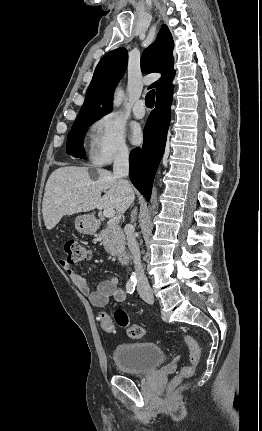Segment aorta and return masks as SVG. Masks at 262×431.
Wrapping results in <instances>:
<instances>
[{"label": "aorta", "instance_id": "1", "mask_svg": "<svg viewBox=\"0 0 262 431\" xmlns=\"http://www.w3.org/2000/svg\"><path fill=\"white\" fill-rule=\"evenodd\" d=\"M123 97H124V92L122 91V89L118 88L115 92V95H114V101H113L114 106H116V107L120 106V104L123 100Z\"/></svg>", "mask_w": 262, "mask_h": 431}]
</instances>
